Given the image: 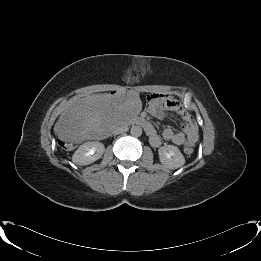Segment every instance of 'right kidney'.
<instances>
[{"label": "right kidney", "mask_w": 261, "mask_h": 261, "mask_svg": "<svg viewBox=\"0 0 261 261\" xmlns=\"http://www.w3.org/2000/svg\"><path fill=\"white\" fill-rule=\"evenodd\" d=\"M104 151L105 146L101 142H85L74 152L72 161L80 166L89 165L98 160Z\"/></svg>", "instance_id": "right-kidney-1"}]
</instances>
